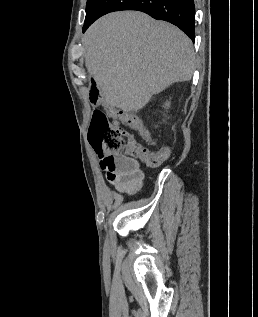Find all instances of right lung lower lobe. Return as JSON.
<instances>
[{
    "instance_id": "1",
    "label": "right lung lower lobe",
    "mask_w": 258,
    "mask_h": 317,
    "mask_svg": "<svg viewBox=\"0 0 258 317\" xmlns=\"http://www.w3.org/2000/svg\"><path fill=\"white\" fill-rule=\"evenodd\" d=\"M119 10H138L179 27L194 42V0H90L83 32L102 15Z\"/></svg>"
}]
</instances>
